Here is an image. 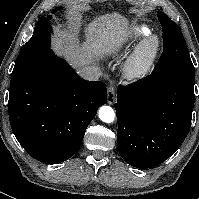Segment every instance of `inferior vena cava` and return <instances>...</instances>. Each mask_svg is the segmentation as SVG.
Masks as SVG:
<instances>
[{"label": "inferior vena cava", "mask_w": 199, "mask_h": 199, "mask_svg": "<svg viewBox=\"0 0 199 199\" xmlns=\"http://www.w3.org/2000/svg\"><path fill=\"white\" fill-rule=\"evenodd\" d=\"M79 74L84 80L89 81H97L101 76L99 69L91 66L82 67L79 71Z\"/></svg>", "instance_id": "inferior-vena-cava-1"}]
</instances>
